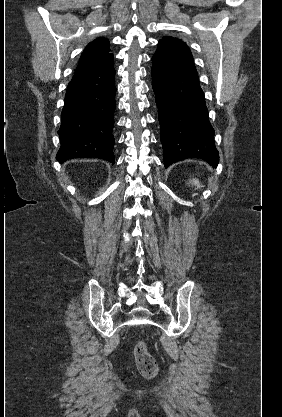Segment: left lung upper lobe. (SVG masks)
Here are the masks:
<instances>
[{"label": "left lung upper lobe", "instance_id": "left-lung-upper-lobe-1", "mask_svg": "<svg viewBox=\"0 0 282 417\" xmlns=\"http://www.w3.org/2000/svg\"><path fill=\"white\" fill-rule=\"evenodd\" d=\"M162 40H171V41H179V42H182L181 40H179L177 38H174V37H170V36H165V37H163Z\"/></svg>", "mask_w": 282, "mask_h": 417}]
</instances>
